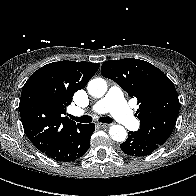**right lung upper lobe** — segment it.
I'll return each instance as SVG.
<instances>
[{"label":"right lung upper lobe","mask_w":196,"mask_h":196,"mask_svg":"<svg viewBox=\"0 0 196 196\" xmlns=\"http://www.w3.org/2000/svg\"><path fill=\"white\" fill-rule=\"evenodd\" d=\"M100 64L59 61L34 72L23 86L19 110L24 131L42 153L80 124L63 117L74 93L83 89Z\"/></svg>","instance_id":"obj_1"}]
</instances>
